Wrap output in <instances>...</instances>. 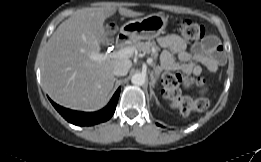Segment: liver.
I'll return each instance as SVG.
<instances>
[{"label": "liver", "mask_w": 261, "mask_h": 162, "mask_svg": "<svg viewBox=\"0 0 261 162\" xmlns=\"http://www.w3.org/2000/svg\"><path fill=\"white\" fill-rule=\"evenodd\" d=\"M115 12L111 3L85 8L62 22L48 40L42 82L56 103L82 111H95L105 104L115 82L114 66L128 59L95 61L90 55L99 53L107 36L104 22ZM118 12L125 17L142 15L121 7Z\"/></svg>", "instance_id": "liver-1"}]
</instances>
